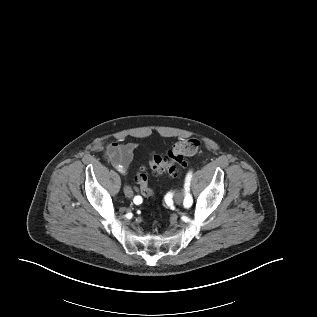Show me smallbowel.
Masks as SVG:
<instances>
[{
	"instance_id": "small-bowel-1",
	"label": "small bowel",
	"mask_w": 317,
	"mask_h": 317,
	"mask_svg": "<svg viewBox=\"0 0 317 317\" xmlns=\"http://www.w3.org/2000/svg\"><path fill=\"white\" fill-rule=\"evenodd\" d=\"M136 144L133 142L127 143H112L109 144L104 150V157L111 162L121 173H126L134 155ZM132 191V189H131ZM128 196H134L127 191ZM138 196V195H137ZM136 197V196H135Z\"/></svg>"
}]
</instances>
